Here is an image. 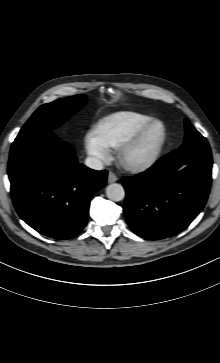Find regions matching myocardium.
I'll use <instances>...</instances> for the list:
<instances>
[{"label": "myocardium", "instance_id": "f54148a6", "mask_svg": "<svg viewBox=\"0 0 220 363\" xmlns=\"http://www.w3.org/2000/svg\"><path fill=\"white\" fill-rule=\"evenodd\" d=\"M160 128V134L150 151L139 159H132L131 153L141 144L147 135L155 128ZM167 140V128L160 120H153L136 131L118 148L117 159L128 170L143 171L152 167L159 159Z\"/></svg>", "mask_w": 220, "mask_h": 363}]
</instances>
